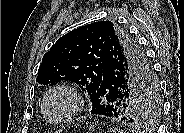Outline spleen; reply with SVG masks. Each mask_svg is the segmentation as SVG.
Segmentation results:
<instances>
[{"instance_id":"obj_1","label":"spleen","mask_w":184,"mask_h":133,"mask_svg":"<svg viewBox=\"0 0 184 133\" xmlns=\"http://www.w3.org/2000/svg\"><path fill=\"white\" fill-rule=\"evenodd\" d=\"M113 132H114V133H116V132H117V133H123V131H121V130H119V129H113Z\"/></svg>"}]
</instances>
